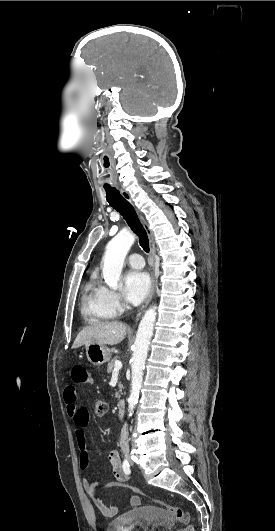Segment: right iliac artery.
<instances>
[{
  "mask_svg": "<svg viewBox=\"0 0 275 531\" xmlns=\"http://www.w3.org/2000/svg\"><path fill=\"white\" fill-rule=\"evenodd\" d=\"M123 470H124L125 474H127V475H129L131 473L130 464H129V462L126 459H124V461H123Z\"/></svg>",
  "mask_w": 275,
  "mask_h": 531,
  "instance_id": "82829eb1",
  "label": "right iliac artery"
}]
</instances>
